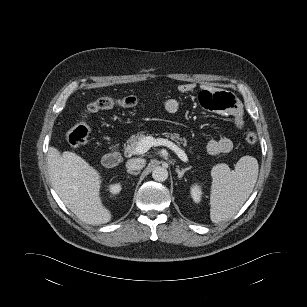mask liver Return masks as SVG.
Returning a JSON list of instances; mask_svg holds the SVG:
<instances>
[{
	"label": "liver",
	"instance_id": "obj_1",
	"mask_svg": "<svg viewBox=\"0 0 307 307\" xmlns=\"http://www.w3.org/2000/svg\"><path fill=\"white\" fill-rule=\"evenodd\" d=\"M52 186L68 209L81 221L99 225L111 220L100 198L101 176L76 153L50 147L47 153Z\"/></svg>",
	"mask_w": 307,
	"mask_h": 307
}]
</instances>
